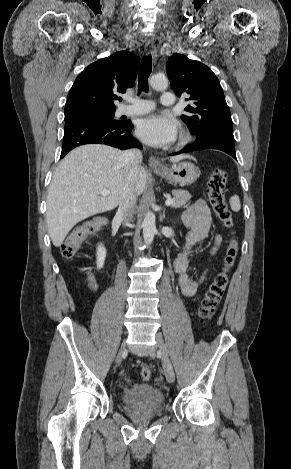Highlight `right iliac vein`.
<instances>
[{"mask_svg":"<svg viewBox=\"0 0 291 469\" xmlns=\"http://www.w3.org/2000/svg\"><path fill=\"white\" fill-rule=\"evenodd\" d=\"M125 351V344L123 343L118 354H117V357H116V363L117 364H120L121 363V359H122V355Z\"/></svg>","mask_w":291,"mask_h":469,"instance_id":"1","label":"right iliac vein"}]
</instances>
